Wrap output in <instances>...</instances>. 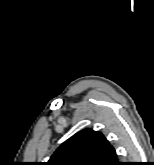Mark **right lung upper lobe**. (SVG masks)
<instances>
[{
  "mask_svg": "<svg viewBox=\"0 0 154 165\" xmlns=\"http://www.w3.org/2000/svg\"><path fill=\"white\" fill-rule=\"evenodd\" d=\"M117 155L100 132L84 129L66 140L47 165H114Z\"/></svg>",
  "mask_w": 154,
  "mask_h": 165,
  "instance_id": "obj_1",
  "label": "right lung upper lobe"
}]
</instances>
